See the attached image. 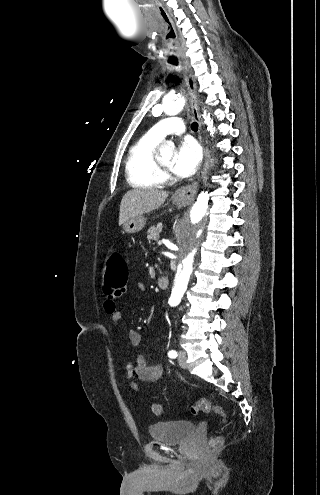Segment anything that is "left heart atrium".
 Returning <instances> with one entry per match:
<instances>
[{
    "label": "left heart atrium",
    "instance_id": "39dd6f15",
    "mask_svg": "<svg viewBox=\"0 0 320 495\" xmlns=\"http://www.w3.org/2000/svg\"><path fill=\"white\" fill-rule=\"evenodd\" d=\"M200 160L199 145L192 139H185L180 143L170 167L175 175L188 177L195 173Z\"/></svg>",
    "mask_w": 320,
    "mask_h": 495
}]
</instances>
